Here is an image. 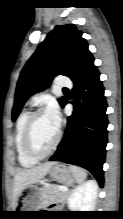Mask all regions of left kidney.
Masks as SVG:
<instances>
[{
	"instance_id": "5707ae66",
	"label": "left kidney",
	"mask_w": 123,
	"mask_h": 219,
	"mask_svg": "<svg viewBox=\"0 0 123 219\" xmlns=\"http://www.w3.org/2000/svg\"><path fill=\"white\" fill-rule=\"evenodd\" d=\"M98 195L96 180H88L77 186L68 196L71 211H94Z\"/></svg>"
}]
</instances>
